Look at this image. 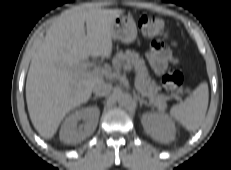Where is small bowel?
Returning <instances> with one entry per match:
<instances>
[{
    "instance_id": "small-bowel-1",
    "label": "small bowel",
    "mask_w": 231,
    "mask_h": 170,
    "mask_svg": "<svg viewBox=\"0 0 231 170\" xmlns=\"http://www.w3.org/2000/svg\"><path fill=\"white\" fill-rule=\"evenodd\" d=\"M149 63L152 69L158 75L163 74L169 64H177L175 58L168 47L160 41H154L151 45V50L147 54Z\"/></svg>"
}]
</instances>
